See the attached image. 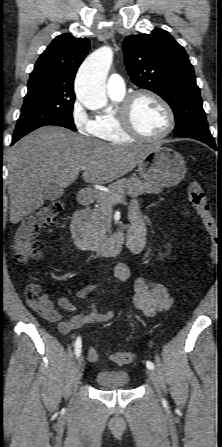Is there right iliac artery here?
<instances>
[{"mask_svg":"<svg viewBox=\"0 0 222 447\" xmlns=\"http://www.w3.org/2000/svg\"><path fill=\"white\" fill-rule=\"evenodd\" d=\"M81 351H82V342H81V338L78 337L76 342H75V355H76V357L80 356Z\"/></svg>","mask_w":222,"mask_h":447,"instance_id":"82829eb1","label":"right iliac artery"}]
</instances>
